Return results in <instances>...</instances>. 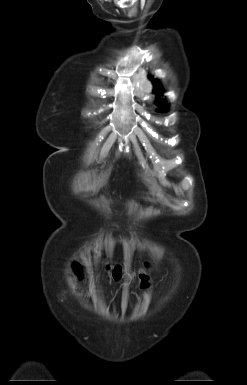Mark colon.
Instances as JSON below:
<instances>
[{
	"label": "colon",
	"mask_w": 247,
	"mask_h": 385,
	"mask_svg": "<svg viewBox=\"0 0 247 385\" xmlns=\"http://www.w3.org/2000/svg\"><path fill=\"white\" fill-rule=\"evenodd\" d=\"M149 264H146L143 268L131 271L127 273L125 269L120 265H108V275L115 281H120L125 277H129L131 280L136 281L140 287H146L149 284ZM76 272L80 275V270L77 268Z\"/></svg>",
	"instance_id": "1"
}]
</instances>
